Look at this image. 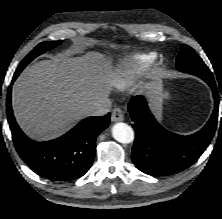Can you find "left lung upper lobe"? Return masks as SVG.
<instances>
[{"mask_svg": "<svg viewBox=\"0 0 222 219\" xmlns=\"http://www.w3.org/2000/svg\"><path fill=\"white\" fill-rule=\"evenodd\" d=\"M176 66L179 71L193 75L206 73L211 75V71L204 64L202 59L188 45L183 44L177 57Z\"/></svg>", "mask_w": 222, "mask_h": 219, "instance_id": "left-lung-upper-lobe-1", "label": "left lung upper lobe"}]
</instances>
